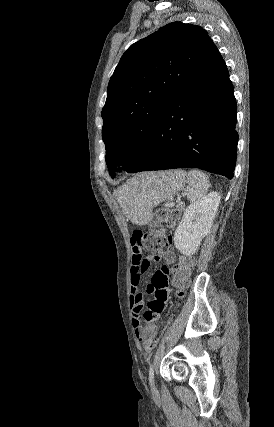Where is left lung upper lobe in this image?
<instances>
[{
  "label": "left lung upper lobe",
  "mask_w": 274,
  "mask_h": 427,
  "mask_svg": "<svg viewBox=\"0 0 274 427\" xmlns=\"http://www.w3.org/2000/svg\"><path fill=\"white\" fill-rule=\"evenodd\" d=\"M213 46L202 27L173 22L127 49L112 75L103 118L106 163L130 167L152 140L177 92Z\"/></svg>",
  "instance_id": "obj_1"
}]
</instances>
